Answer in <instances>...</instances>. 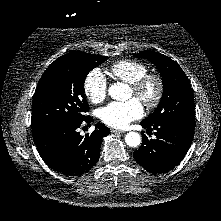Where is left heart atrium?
<instances>
[{
	"label": "left heart atrium",
	"mask_w": 221,
	"mask_h": 221,
	"mask_svg": "<svg viewBox=\"0 0 221 221\" xmlns=\"http://www.w3.org/2000/svg\"><path fill=\"white\" fill-rule=\"evenodd\" d=\"M143 115V107L137 98L124 102H111L99 110L100 120L114 128H124Z\"/></svg>",
	"instance_id": "left-heart-atrium-1"
}]
</instances>
